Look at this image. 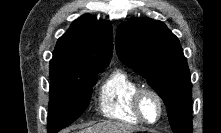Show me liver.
<instances>
[{"instance_id": "liver-1", "label": "liver", "mask_w": 221, "mask_h": 133, "mask_svg": "<svg viewBox=\"0 0 221 133\" xmlns=\"http://www.w3.org/2000/svg\"><path fill=\"white\" fill-rule=\"evenodd\" d=\"M134 131L136 128L131 125L107 121L82 129L77 133H134Z\"/></svg>"}]
</instances>
